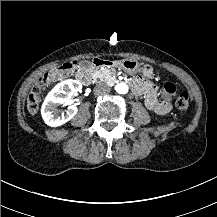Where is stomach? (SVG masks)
I'll return each instance as SVG.
<instances>
[{
  "mask_svg": "<svg viewBox=\"0 0 217 217\" xmlns=\"http://www.w3.org/2000/svg\"><path fill=\"white\" fill-rule=\"evenodd\" d=\"M119 67L128 74L140 73L145 79H154V68L151 64L140 65V63L131 58L122 59L119 61Z\"/></svg>",
  "mask_w": 217,
  "mask_h": 217,
  "instance_id": "1",
  "label": "stomach"
}]
</instances>
